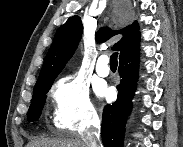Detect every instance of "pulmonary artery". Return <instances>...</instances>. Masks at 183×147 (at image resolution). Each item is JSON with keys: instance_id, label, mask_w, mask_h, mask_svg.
I'll use <instances>...</instances> for the list:
<instances>
[{"instance_id": "obj_1", "label": "pulmonary artery", "mask_w": 183, "mask_h": 147, "mask_svg": "<svg viewBox=\"0 0 183 147\" xmlns=\"http://www.w3.org/2000/svg\"><path fill=\"white\" fill-rule=\"evenodd\" d=\"M109 58L107 55H101L98 58L97 64H96V72L101 77H106L110 73V68L108 66Z\"/></svg>"}]
</instances>
